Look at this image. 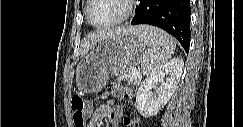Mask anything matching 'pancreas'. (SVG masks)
Listing matches in <instances>:
<instances>
[{"label": "pancreas", "instance_id": "obj_1", "mask_svg": "<svg viewBox=\"0 0 243 127\" xmlns=\"http://www.w3.org/2000/svg\"><path fill=\"white\" fill-rule=\"evenodd\" d=\"M127 80L134 87H137L139 85L140 81H141V77L140 76H136L133 73H129Z\"/></svg>", "mask_w": 243, "mask_h": 127}]
</instances>
